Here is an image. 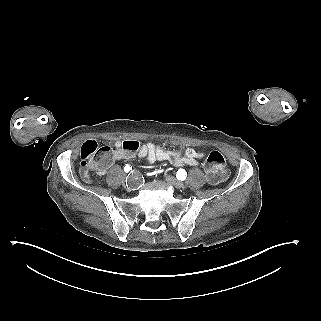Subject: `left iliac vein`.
Wrapping results in <instances>:
<instances>
[{
  "instance_id": "obj_1",
  "label": "left iliac vein",
  "mask_w": 321,
  "mask_h": 321,
  "mask_svg": "<svg viewBox=\"0 0 321 321\" xmlns=\"http://www.w3.org/2000/svg\"><path fill=\"white\" fill-rule=\"evenodd\" d=\"M166 181L170 185H172V186H174L175 188H178V189L183 188L185 186L184 182H182V181H180V180H178L175 177L170 176V175L166 176Z\"/></svg>"
}]
</instances>
